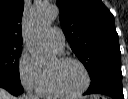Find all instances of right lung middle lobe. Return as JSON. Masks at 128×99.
<instances>
[{
    "instance_id": "1",
    "label": "right lung middle lobe",
    "mask_w": 128,
    "mask_h": 99,
    "mask_svg": "<svg viewBox=\"0 0 128 99\" xmlns=\"http://www.w3.org/2000/svg\"><path fill=\"white\" fill-rule=\"evenodd\" d=\"M22 47L0 45V78L21 84L19 76V57Z\"/></svg>"
}]
</instances>
